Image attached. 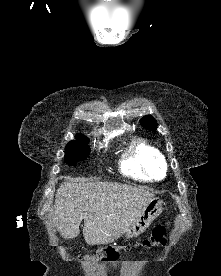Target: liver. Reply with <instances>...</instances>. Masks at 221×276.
<instances>
[{"mask_svg":"<svg viewBox=\"0 0 221 276\" xmlns=\"http://www.w3.org/2000/svg\"><path fill=\"white\" fill-rule=\"evenodd\" d=\"M153 198V193L131 185L64 182L56 193L53 222L63 238L72 239L84 219L87 244H108L128 231Z\"/></svg>","mask_w":221,"mask_h":276,"instance_id":"liver-1","label":"liver"}]
</instances>
